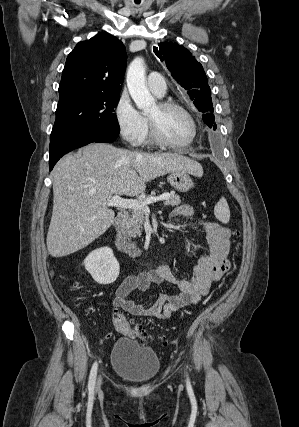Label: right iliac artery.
Segmentation results:
<instances>
[{
  "label": "right iliac artery",
  "instance_id": "right-iliac-artery-1",
  "mask_svg": "<svg viewBox=\"0 0 299 427\" xmlns=\"http://www.w3.org/2000/svg\"><path fill=\"white\" fill-rule=\"evenodd\" d=\"M97 367L98 364L95 362L92 366L90 376H89V382H88V389L89 391H93L95 387V381H96V375H97Z\"/></svg>",
  "mask_w": 299,
  "mask_h": 427
}]
</instances>
